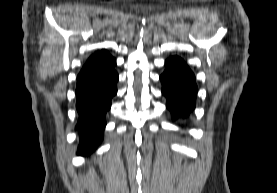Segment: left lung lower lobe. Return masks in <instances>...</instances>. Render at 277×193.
Wrapping results in <instances>:
<instances>
[{"instance_id":"obj_1","label":"left lung lower lobe","mask_w":277,"mask_h":193,"mask_svg":"<svg viewBox=\"0 0 277 193\" xmlns=\"http://www.w3.org/2000/svg\"><path fill=\"white\" fill-rule=\"evenodd\" d=\"M166 70L160 76L162 93L167 98V108L172 112L173 118L180 115L187 117L195 107L197 86L192 71L185 62L177 57L169 58Z\"/></svg>"}]
</instances>
